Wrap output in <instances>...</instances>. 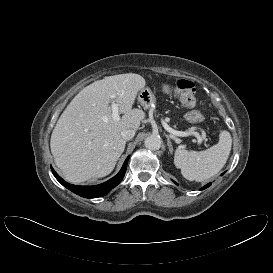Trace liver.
<instances>
[{
    "label": "liver",
    "instance_id": "obj_1",
    "mask_svg": "<svg viewBox=\"0 0 273 273\" xmlns=\"http://www.w3.org/2000/svg\"><path fill=\"white\" fill-rule=\"evenodd\" d=\"M145 85L139 74L108 76L85 87L71 101L50 140L54 162L68 182L81 183L113 171L125 149L121 132L136 131L145 117L142 110L132 109ZM111 102L123 114L117 121L112 118Z\"/></svg>",
    "mask_w": 273,
    "mask_h": 273
}]
</instances>
